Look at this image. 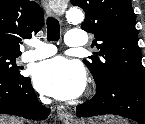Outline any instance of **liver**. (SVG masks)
<instances>
[{
  "label": "liver",
  "instance_id": "liver-1",
  "mask_svg": "<svg viewBox=\"0 0 145 124\" xmlns=\"http://www.w3.org/2000/svg\"><path fill=\"white\" fill-rule=\"evenodd\" d=\"M0 124H23V121L15 117L0 116Z\"/></svg>",
  "mask_w": 145,
  "mask_h": 124
}]
</instances>
